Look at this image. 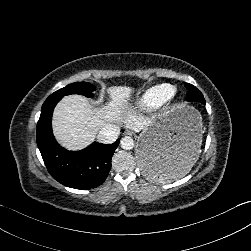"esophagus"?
I'll use <instances>...</instances> for the list:
<instances>
[{
	"instance_id": "obj_1",
	"label": "esophagus",
	"mask_w": 251,
	"mask_h": 251,
	"mask_svg": "<svg viewBox=\"0 0 251 251\" xmlns=\"http://www.w3.org/2000/svg\"><path fill=\"white\" fill-rule=\"evenodd\" d=\"M125 134L132 135L133 133L128 131V132H125Z\"/></svg>"
}]
</instances>
